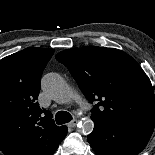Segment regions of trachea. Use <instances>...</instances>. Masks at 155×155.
<instances>
[{
    "label": "trachea",
    "instance_id": "3493384b",
    "mask_svg": "<svg viewBox=\"0 0 155 155\" xmlns=\"http://www.w3.org/2000/svg\"><path fill=\"white\" fill-rule=\"evenodd\" d=\"M55 119L57 124H64L70 122L73 118L70 113L66 111H59L57 112Z\"/></svg>",
    "mask_w": 155,
    "mask_h": 155
}]
</instances>
